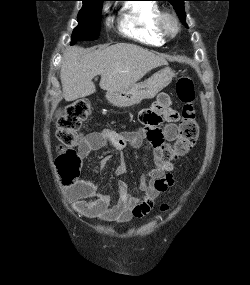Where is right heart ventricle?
Listing matches in <instances>:
<instances>
[{"label":"right heart ventricle","mask_w":250,"mask_h":285,"mask_svg":"<svg viewBox=\"0 0 250 285\" xmlns=\"http://www.w3.org/2000/svg\"><path fill=\"white\" fill-rule=\"evenodd\" d=\"M160 7L150 0H137L126 4L121 10V32L142 44L160 46L164 39L156 29Z\"/></svg>","instance_id":"right-heart-ventricle-1"}]
</instances>
